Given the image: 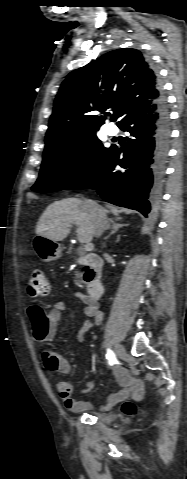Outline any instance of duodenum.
Masks as SVG:
<instances>
[{
    "label": "duodenum",
    "instance_id": "410a0bca",
    "mask_svg": "<svg viewBox=\"0 0 187 479\" xmlns=\"http://www.w3.org/2000/svg\"><path fill=\"white\" fill-rule=\"evenodd\" d=\"M79 263L87 273L86 282L89 297L93 300L99 299L104 292L102 283L96 277L97 270L102 266L100 257L93 254H86L79 260Z\"/></svg>",
    "mask_w": 187,
    "mask_h": 479
}]
</instances>
